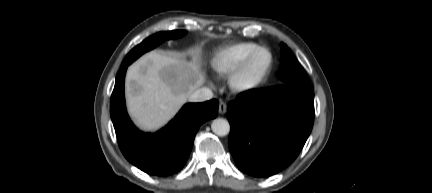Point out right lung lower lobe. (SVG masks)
<instances>
[{
    "instance_id": "obj_1",
    "label": "right lung lower lobe",
    "mask_w": 432,
    "mask_h": 193,
    "mask_svg": "<svg viewBox=\"0 0 432 193\" xmlns=\"http://www.w3.org/2000/svg\"><path fill=\"white\" fill-rule=\"evenodd\" d=\"M128 65L117 73L111 95L110 115L118 145L125 158L142 171L156 176L178 172L186 163L200 125L218 113V101L189 103L155 134L143 133L126 112L124 79Z\"/></svg>"
}]
</instances>
